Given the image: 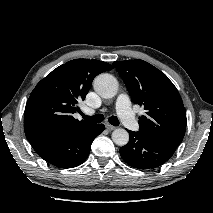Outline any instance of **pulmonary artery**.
Masks as SVG:
<instances>
[{"label": "pulmonary artery", "mask_w": 213, "mask_h": 213, "mask_svg": "<svg viewBox=\"0 0 213 213\" xmlns=\"http://www.w3.org/2000/svg\"><path fill=\"white\" fill-rule=\"evenodd\" d=\"M116 110L121 121L128 129L133 131H137L139 129L138 122L131 111L129 98L126 94H120L118 96ZM85 112L87 114L93 113L90 109H87Z\"/></svg>", "instance_id": "1"}]
</instances>
